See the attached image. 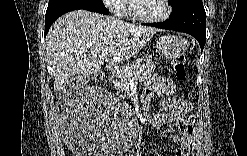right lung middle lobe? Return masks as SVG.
Instances as JSON below:
<instances>
[{
	"label": "right lung middle lobe",
	"mask_w": 247,
	"mask_h": 156,
	"mask_svg": "<svg viewBox=\"0 0 247 156\" xmlns=\"http://www.w3.org/2000/svg\"><path fill=\"white\" fill-rule=\"evenodd\" d=\"M62 4H76V5L103 4V1L102 0H49L47 10L52 9Z\"/></svg>",
	"instance_id": "1"
}]
</instances>
